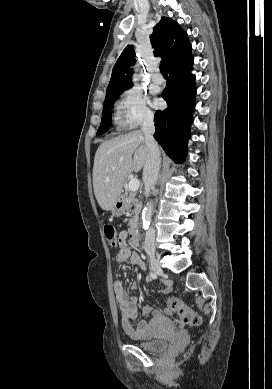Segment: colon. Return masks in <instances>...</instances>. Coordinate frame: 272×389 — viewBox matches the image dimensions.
Listing matches in <instances>:
<instances>
[{"label": "colon", "mask_w": 272, "mask_h": 389, "mask_svg": "<svg viewBox=\"0 0 272 389\" xmlns=\"http://www.w3.org/2000/svg\"><path fill=\"white\" fill-rule=\"evenodd\" d=\"M104 235L108 243L115 247L118 245V236L115 228L107 224L104 226ZM167 310L169 313L179 316L182 323L189 326H199L201 317L195 311L190 309L180 298L170 297L167 301Z\"/></svg>", "instance_id": "5ec220e1"}]
</instances>
